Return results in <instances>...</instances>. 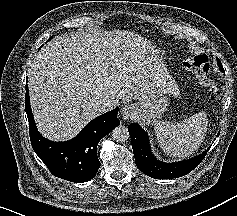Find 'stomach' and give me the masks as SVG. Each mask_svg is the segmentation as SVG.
Listing matches in <instances>:
<instances>
[{
    "instance_id": "obj_1",
    "label": "stomach",
    "mask_w": 237,
    "mask_h": 216,
    "mask_svg": "<svg viewBox=\"0 0 237 216\" xmlns=\"http://www.w3.org/2000/svg\"><path fill=\"white\" fill-rule=\"evenodd\" d=\"M168 95L165 90L156 88L146 99L135 105L136 117L143 124L156 122L167 110Z\"/></svg>"
}]
</instances>
